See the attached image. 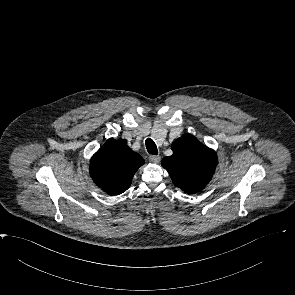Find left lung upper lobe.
<instances>
[{
    "label": "left lung upper lobe",
    "mask_w": 295,
    "mask_h": 295,
    "mask_svg": "<svg viewBox=\"0 0 295 295\" xmlns=\"http://www.w3.org/2000/svg\"><path fill=\"white\" fill-rule=\"evenodd\" d=\"M171 149L173 154L164 157L161 164L174 185L186 193L201 191L210 182L217 165L215 152L190 134L175 140Z\"/></svg>",
    "instance_id": "left-lung-upper-lobe-1"
}]
</instances>
